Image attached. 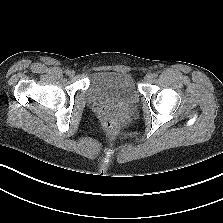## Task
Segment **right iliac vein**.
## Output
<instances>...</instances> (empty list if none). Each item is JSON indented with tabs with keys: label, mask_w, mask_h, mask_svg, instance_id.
<instances>
[{
	"label": "right iliac vein",
	"mask_w": 223,
	"mask_h": 223,
	"mask_svg": "<svg viewBox=\"0 0 223 223\" xmlns=\"http://www.w3.org/2000/svg\"><path fill=\"white\" fill-rule=\"evenodd\" d=\"M75 74L74 71H70L68 75L73 76Z\"/></svg>",
	"instance_id": "63e3f726"
}]
</instances>
